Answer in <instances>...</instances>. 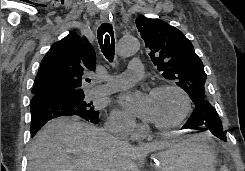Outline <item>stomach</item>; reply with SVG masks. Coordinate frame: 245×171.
Here are the masks:
<instances>
[{"label": "stomach", "instance_id": "1", "mask_svg": "<svg viewBox=\"0 0 245 171\" xmlns=\"http://www.w3.org/2000/svg\"><path fill=\"white\" fill-rule=\"evenodd\" d=\"M218 147L208 133L174 140L154 155L158 171H216Z\"/></svg>", "mask_w": 245, "mask_h": 171}]
</instances>
